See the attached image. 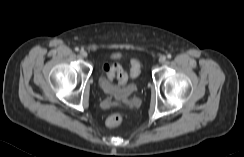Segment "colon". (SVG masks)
Here are the masks:
<instances>
[{"instance_id":"5ec220e1","label":"colon","mask_w":244,"mask_h":157,"mask_svg":"<svg viewBox=\"0 0 244 157\" xmlns=\"http://www.w3.org/2000/svg\"><path fill=\"white\" fill-rule=\"evenodd\" d=\"M103 72L106 77L111 81L117 79L120 86H124L128 81V75L124 69L117 63L111 65H105ZM140 74V63L137 59L131 61V76L133 78L138 77ZM123 116L121 113H114L110 115L106 120V125L110 128L117 127L121 124Z\"/></svg>"}]
</instances>
